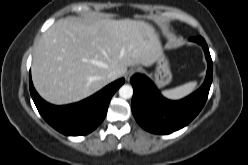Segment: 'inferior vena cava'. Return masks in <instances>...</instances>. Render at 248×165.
Wrapping results in <instances>:
<instances>
[{
    "label": "inferior vena cava",
    "mask_w": 248,
    "mask_h": 165,
    "mask_svg": "<svg viewBox=\"0 0 248 165\" xmlns=\"http://www.w3.org/2000/svg\"><path fill=\"white\" fill-rule=\"evenodd\" d=\"M120 77V73L117 72V71H111L108 75H107V78L110 80V81H114L116 80L117 78Z\"/></svg>",
    "instance_id": "602c4592"
}]
</instances>
